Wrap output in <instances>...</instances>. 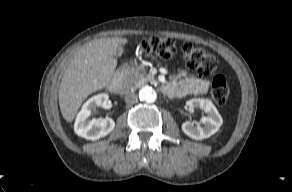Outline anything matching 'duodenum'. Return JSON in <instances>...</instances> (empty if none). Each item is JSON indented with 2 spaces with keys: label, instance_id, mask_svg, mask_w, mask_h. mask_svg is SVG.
Here are the masks:
<instances>
[{
  "label": "duodenum",
  "instance_id": "obj_1",
  "mask_svg": "<svg viewBox=\"0 0 292 192\" xmlns=\"http://www.w3.org/2000/svg\"><path fill=\"white\" fill-rule=\"evenodd\" d=\"M120 86H121V75L120 73H117L109 85V90L113 93H118L120 91Z\"/></svg>",
  "mask_w": 292,
  "mask_h": 192
}]
</instances>
